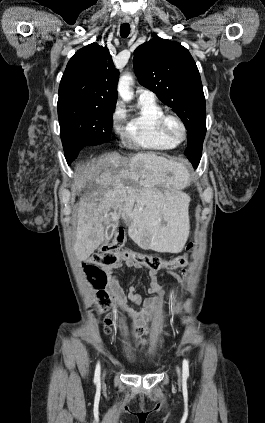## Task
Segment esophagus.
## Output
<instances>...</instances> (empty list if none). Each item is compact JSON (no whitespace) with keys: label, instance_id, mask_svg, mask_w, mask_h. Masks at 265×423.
<instances>
[{"label":"esophagus","instance_id":"esophagus-1","mask_svg":"<svg viewBox=\"0 0 265 423\" xmlns=\"http://www.w3.org/2000/svg\"><path fill=\"white\" fill-rule=\"evenodd\" d=\"M131 21V19L129 17H124L123 18V22L124 23H129Z\"/></svg>","mask_w":265,"mask_h":423}]
</instances>
